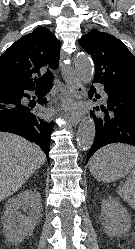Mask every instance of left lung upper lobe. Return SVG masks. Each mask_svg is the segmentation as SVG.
Masks as SVG:
<instances>
[{
  "label": "left lung upper lobe",
  "instance_id": "5c2ea615",
  "mask_svg": "<svg viewBox=\"0 0 135 249\" xmlns=\"http://www.w3.org/2000/svg\"><path fill=\"white\" fill-rule=\"evenodd\" d=\"M95 62L94 82L135 95V56L115 36L96 29L79 40Z\"/></svg>",
  "mask_w": 135,
  "mask_h": 249
}]
</instances>
